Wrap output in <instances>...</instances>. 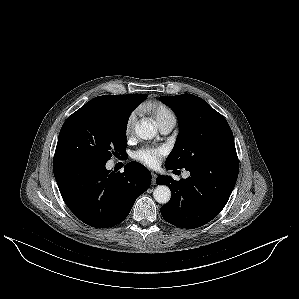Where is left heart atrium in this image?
<instances>
[{
	"label": "left heart atrium",
	"instance_id": "obj_1",
	"mask_svg": "<svg viewBox=\"0 0 299 299\" xmlns=\"http://www.w3.org/2000/svg\"><path fill=\"white\" fill-rule=\"evenodd\" d=\"M165 153L163 147H143L134 153V159L147 167L155 168Z\"/></svg>",
	"mask_w": 299,
	"mask_h": 299
}]
</instances>
